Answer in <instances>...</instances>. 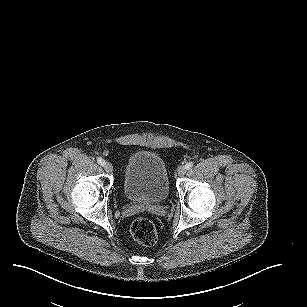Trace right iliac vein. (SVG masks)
I'll use <instances>...</instances> for the list:
<instances>
[{
	"mask_svg": "<svg viewBox=\"0 0 307 307\" xmlns=\"http://www.w3.org/2000/svg\"><path fill=\"white\" fill-rule=\"evenodd\" d=\"M103 167L108 173L113 172V165L110 162H105Z\"/></svg>",
	"mask_w": 307,
	"mask_h": 307,
	"instance_id": "obj_1",
	"label": "right iliac vein"
}]
</instances>
